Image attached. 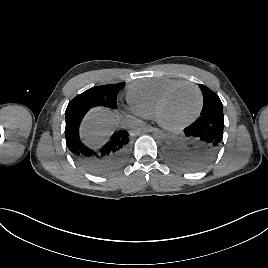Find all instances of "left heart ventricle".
Returning a JSON list of instances; mask_svg holds the SVG:
<instances>
[{
  "mask_svg": "<svg viewBox=\"0 0 268 268\" xmlns=\"http://www.w3.org/2000/svg\"><path fill=\"white\" fill-rule=\"evenodd\" d=\"M198 107V94L192 87L177 90L166 102L161 118L169 124H179L189 119Z\"/></svg>",
  "mask_w": 268,
  "mask_h": 268,
  "instance_id": "1",
  "label": "left heart ventricle"
}]
</instances>
